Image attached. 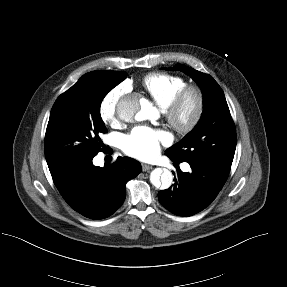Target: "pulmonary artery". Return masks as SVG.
<instances>
[{"label":"pulmonary artery","instance_id":"obj_1","mask_svg":"<svg viewBox=\"0 0 287 287\" xmlns=\"http://www.w3.org/2000/svg\"><path fill=\"white\" fill-rule=\"evenodd\" d=\"M183 169H184V170H188V169H189V166L186 164V165L183 166Z\"/></svg>","mask_w":287,"mask_h":287}]
</instances>
